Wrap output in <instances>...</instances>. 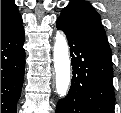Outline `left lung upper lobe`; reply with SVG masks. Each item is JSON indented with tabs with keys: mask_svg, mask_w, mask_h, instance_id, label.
<instances>
[{
	"mask_svg": "<svg viewBox=\"0 0 121 113\" xmlns=\"http://www.w3.org/2000/svg\"><path fill=\"white\" fill-rule=\"evenodd\" d=\"M60 18L80 33L95 40L111 54L100 16L89 3L82 0H71L61 12Z\"/></svg>",
	"mask_w": 121,
	"mask_h": 113,
	"instance_id": "obj_1",
	"label": "left lung upper lobe"
}]
</instances>
